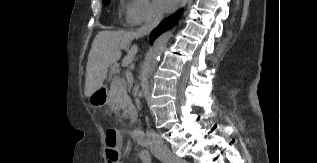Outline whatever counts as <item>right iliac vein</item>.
Instances as JSON below:
<instances>
[{"mask_svg": "<svg viewBox=\"0 0 317 163\" xmlns=\"http://www.w3.org/2000/svg\"><path fill=\"white\" fill-rule=\"evenodd\" d=\"M166 163H185V162H181L175 158L169 159Z\"/></svg>", "mask_w": 317, "mask_h": 163, "instance_id": "right-iliac-vein-1", "label": "right iliac vein"}]
</instances>
